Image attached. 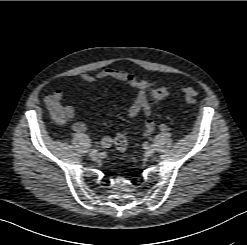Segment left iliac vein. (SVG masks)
<instances>
[{
    "label": "left iliac vein",
    "instance_id": "4c4485c4",
    "mask_svg": "<svg viewBox=\"0 0 247 245\" xmlns=\"http://www.w3.org/2000/svg\"><path fill=\"white\" fill-rule=\"evenodd\" d=\"M154 152H155V148H154L153 145H150V146H148V147L145 149V155H146L147 157L153 156V155H154Z\"/></svg>",
    "mask_w": 247,
    "mask_h": 245
}]
</instances>
